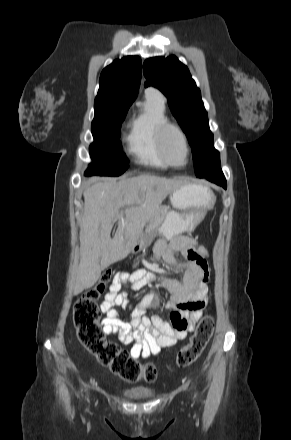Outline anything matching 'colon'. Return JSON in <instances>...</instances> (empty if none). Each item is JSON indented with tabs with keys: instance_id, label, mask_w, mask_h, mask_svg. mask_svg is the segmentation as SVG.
<instances>
[{
	"instance_id": "obj_1",
	"label": "colon",
	"mask_w": 291,
	"mask_h": 440,
	"mask_svg": "<svg viewBox=\"0 0 291 440\" xmlns=\"http://www.w3.org/2000/svg\"><path fill=\"white\" fill-rule=\"evenodd\" d=\"M111 269H105L99 282L90 287L79 298L74 306L73 325L79 342L96 359L108 365L111 370L123 380L137 382L145 380L154 381L158 376V369L152 364L140 365L116 344L107 342L99 324L98 298L104 293L105 285L112 279ZM214 331L212 316L203 317L192 336L190 342L180 349L177 354L176 364L186 367L193 363L203 352Z\"/></svg>"
}]
</instances>
